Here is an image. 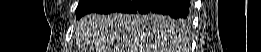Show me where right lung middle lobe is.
Instances as JSON below:
<instances>
[{
  "mask_svg": "<svg viewBox=\"0 0 261 52\" xmlns=\"http://www.w3.org/2000/svg\"><path fill=\"white\" fill-rule=\"evenodd\" d=\"M105 0H80L79 5L76 9V16L77 18H80L86 13H89L93 9L97 8L101 4H103ZM167 22H170L172 24H176L179 26H186L188 23V20L186 19H180V18H173V17H168L164 19Z\"/></svg>",
  "mask_w": 261,
  "mask_h": 52,
  "instance_id": "obj_1",
  "label": "right lung middle lobe"
}]
</instances>
